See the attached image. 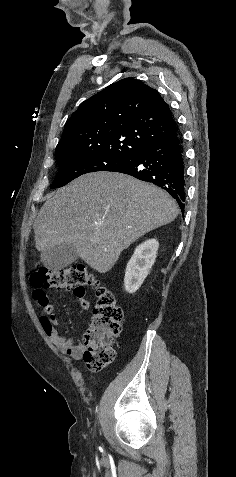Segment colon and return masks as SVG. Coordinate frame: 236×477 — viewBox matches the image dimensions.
<instances>
[{
  "label": "colon",
  "instance_id": "colon-1",
  "mask_svg": "<svg viewBox=\"0 0 236 477\" xmlns=\"http://www.w3.org/2000/svg\"><path fill=\"white\" fill-rule=\"evenodd\" d=\"M30 284L34 298L52 288H72L81 295L87 287H94L96 303L84 336V360L93 371L105 368L114 360V343L120 335L124 313L113 293L100 286L85 265L77 264L58 271L39 268L31 273Z\"/></svg>",
  "mask_w": 236,
  "mask_h": 477
}]
</instances>
